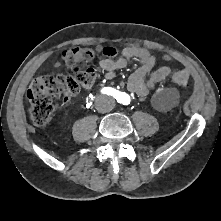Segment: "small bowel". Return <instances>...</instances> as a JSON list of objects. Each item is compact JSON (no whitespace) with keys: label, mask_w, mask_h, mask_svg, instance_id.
I'll return each instance as SVG.
<instances>
[{"label":"small bowel","mask_w":221,"mask_h":221,"mask_svg":"<svg viewBox=\"0 0 221 221\" xmlns=\"http://www.w3.org/2000/svg\"><path fill=\"white\" fill-rule=\"evenodd\" d=\"M130 59H137L139 67L128 78L127 89L129 92L140 97L147 96L157 83L166 79L171 69L168 66H161L154 69L157 59L148 50L136 46L125 47L120 54L102 58L98 65L104 73L106 80H112L116 76V71L125 68ZM164 60H168L164 57Z\"/></svg>","instance_id":"c3829d8e"}]
</instances>
